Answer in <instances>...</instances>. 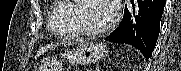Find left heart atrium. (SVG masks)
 <instances>
[{
  "instance_id": "1",
  "label": "left heart atrium",
  "mask_w": 181,
  "mask_h": 71,
  "mask_svg": "<svg viewBox=\"0 0 181 71\" xmlns=\"http://www.w3.org/2000/svg\"><path fill=\"white\" fill-rule=\"evenodd\" d=\"M111 2H112V4L109 5V7L107 9V18H108V20H110V19H112L114 17V15L116 13V10H117L116 5H115L116 1H111Z\"/></svg>"
}]
</instances>
